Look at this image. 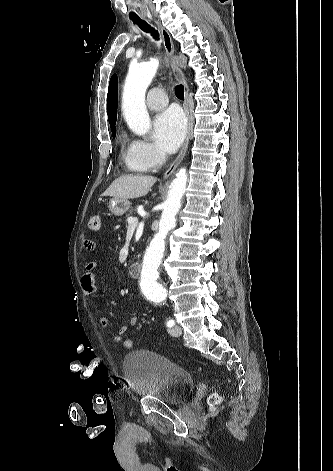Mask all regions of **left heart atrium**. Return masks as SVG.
I'll list each match as a JSON object with an SVG mask.
<instances>
[{"mask_svg": "<svg viewBox=\"0 0 333 471\" xmlns=\"http://www.w3.org/2000/svg\"><path fill=\"white\" fill-rule=\"evenodd\" d=\"M186 133V120L182 112L170 108L154 120V136L157 146L165 153H173L182 143Z\"/></svg>", "mask_w": 333, "mask_h": 471, "instance_id": "obj_1", "label": "left heart atrium"}]
</instances>
